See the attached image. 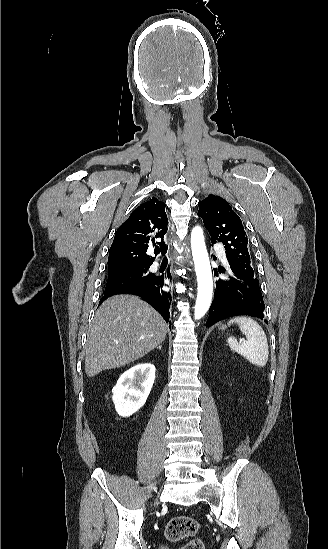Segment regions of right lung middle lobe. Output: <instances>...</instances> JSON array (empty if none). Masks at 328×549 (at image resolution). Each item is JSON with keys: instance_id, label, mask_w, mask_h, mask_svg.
Here are the masks:
<instances>
[{"instance_id": "right-lung-middle-lobe-1", "label": "right lung middle lobe", "mask_w": 328, "mask_h": 549, "mask_svg": "<svg viewBox=\"0 0 328 549\" xmlns=\"http://www.w3.org/2000/svg\"><path fill=\"white\" fill-rule=\"evenodd\" d=\"M153 275L154 274L148 272V268L130 269L108 274L105 292L132 283H144Z\"/></svg>"}]
</instances>
